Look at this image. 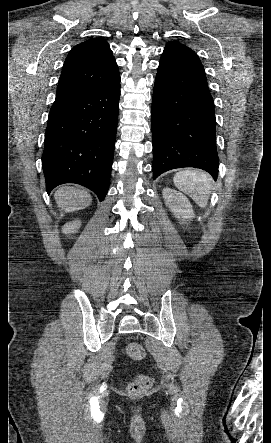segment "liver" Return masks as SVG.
I'll return each mask as SVG.
<instances>
[{
  "label": "liver",
  "instance_id": "liver-1",
  "mask_svg": "<svg viewBox=\"0 0 271 443\" xmlns=\"http://www.w3.org/2000/svg\"><path fill=\"white\" fill-rule=\"evenodd\" d=\"M57 208L63 212H76V210H83L90 206L92 198L85 190H77V188H70V186H63L59 188L54 194Z\"/></svg>",
  "mask_w": 271,
  "mask_h": 443
}]
</instances>
